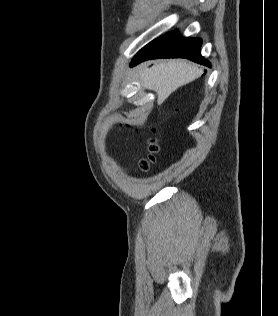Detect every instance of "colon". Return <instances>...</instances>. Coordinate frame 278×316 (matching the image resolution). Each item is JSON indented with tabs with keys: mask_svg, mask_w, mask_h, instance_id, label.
<instances>
[{
	"mask_svg": "<svg viewBox=\"0 0 278 316\" xmlns=\"http://www.w3.org/2000/svg\"><path fill=\"white\" fill-rule=\"evenodd\" d=\"M158 145L155 140L149 141V156L145 159H142L139 163L140 168L143 171H147L150 168V165L155 161V153L158 152Z\"/></svg>",
	"mask_w": 278,
	"mask_h": 316,
	"instance_id": "1",
	"label": "colon"
}]
</instances>
